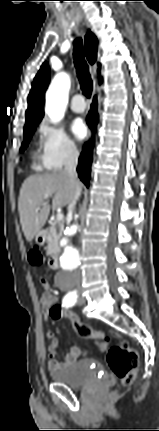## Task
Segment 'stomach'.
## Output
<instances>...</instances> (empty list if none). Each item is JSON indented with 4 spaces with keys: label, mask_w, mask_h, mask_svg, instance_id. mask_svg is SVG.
Returning a JSON list of instances; mask_svg holds the SVG:
<instances>
[{
    "label": "stomach",
    "mask_w": 159,
    "mask_h": 431,
    "mask_svg": "<svg viewBox=\"0 0 159 431\" xmlns=\"http://www.w3.org/2000/svg\"><path fill=\"white\" fill-rule=\"evenodd\" d=\"M35 241H36L37 244L42 245L44 243V241H45V238H44V236L42 234H37L35 236Z\"/></svg>",
    "instance_id": "1"
}]
</instances>
